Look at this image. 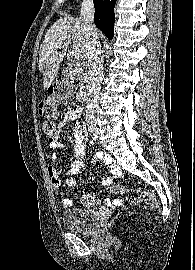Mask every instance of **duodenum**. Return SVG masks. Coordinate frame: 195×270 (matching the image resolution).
Wrapping results in <instances>:
<instances>
[{
    "label": "duodenum",
    "mask_w": 195,
    "mask_h": 270,
    "mask_svg": "<svg viewBox=\"0 0 195 270\" xmlns=\"http://www.w3.org/2000/svg\"><path fill=\"white\" fill-rule=\"evenodd\" d=\"M75 72H76V67L72 64H68L66 67L67 76H73ZM90 92H91V84L88 82L80 89L78 93L79 100L82 102L88 101Z\"/></svg>",
    "instance_id": "410a0bca"
}]
</instances>
